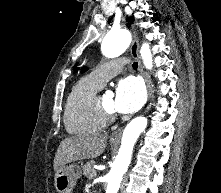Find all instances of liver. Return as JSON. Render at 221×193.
Segmentation results:
<instances>
[{
  "label": "liver",
  "instance_id": "obj_1",
  "mask_svg": "<svg viewBox=\"0 0 221 193\" xmlns=\"http://www.w3.org/2000/svg\"><path fill=\"white\" fill-rule=\"evenodd\" d=\"M107 139V135L92 134L71 136L62 140L53 161L54 170L57 171L77 160L100 156L106 147Z\"/></svg>",
  "mask_w": 221,
  "mask_h": 193
}]
</instances>
